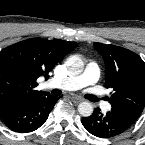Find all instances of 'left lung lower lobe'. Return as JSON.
Instances as JSON below:
<instances>
[{
  "label": "left lung lower lobe",
  "instance_id": "0a47b994",
  "mask_svg": "<svg viewBox=\"0 0 145 145\" xmlns=\"http://www.w3.org/2000/svg\"><path fill=\"white\" fill-rule=\"evenodd\" d=\"M81 122L88 132L100 138L117 136L129 128L109 112L102 114L99 108L91 116L82 118Z\"/></svg>",
  "mask_w": 145,
  "mask_h": 145
}]
</instances>
